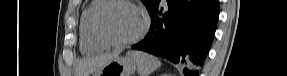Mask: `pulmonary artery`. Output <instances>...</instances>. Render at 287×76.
Wrapping results in <instances>:
<instances>
[{
  "instance_id": "obj_1",
  "label": "pulmonary artery",
  "mask_w": 287,
  "mask_h": 76,
  "mask_svg": "<svg viewBox=\"0 0 287 76\" xmlns=\"http://www.w3.org/2000/svg\"><path fill=\"white\" fill-rule=\"evenodd\" d=\"M162 2H163V3H165V2H166V0H162Z\"/></svg>"
}]
</instances>
